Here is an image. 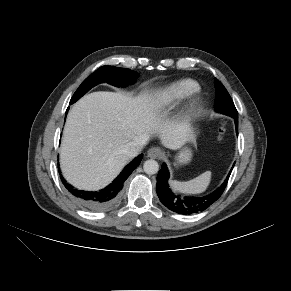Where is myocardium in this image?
<instances>
[{
    "instance_id": "myocardium-1",
    "label": "myocardium",
    "mask_w": 291,
    "mask_h": 291,
    "mask_svg": "<svg viewBox=\"0 0 291 291\" xmlns=\"http://www.w3.org/2000/svg\"><path fill=\"white\" fill-rule=\"evenodd\" d=\"M202 105V98L195 92L191 95L186 107H185V116L190 117L193 116L201 107Z\"/></svg>"
}]
</instances>
